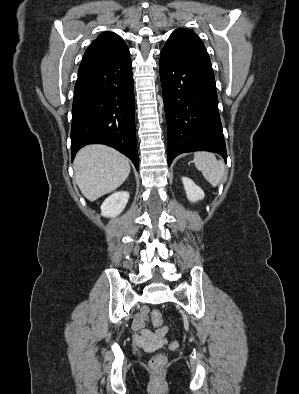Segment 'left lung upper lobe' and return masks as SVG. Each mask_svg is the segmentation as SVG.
I'll return each instance as SVG.
<instances>
[{
    "label": "left lung upper lobe",
    "instance_id": "left-lung-upper-lobe-1",
    "mask_svg": "<svg viewBox=\"0 0 299 394\" xmlns=\"http://www.w3.org/2000/svg\"><path fill=\"white\" fill-rule=\"evenodd\" d=\"M162 50L177 56H203L209 58L201 39L187 28L175 30Z\"/></svg>",
    "mask_w": 299,
    "mask_h": 394
}]
</instances>
